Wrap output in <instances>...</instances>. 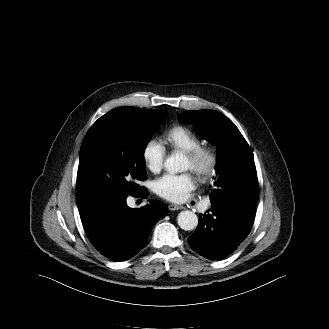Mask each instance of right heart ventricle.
I'll list each match as a JSON object with an SVG mask.
<instances>
[{
    "mask_svg": "<svg viewBox=\"0 0 329 329\" xmlns=\"http://www.w3.org/2000/svg\"><path fill=\"white\" fill-rule=\"evenodd\" d=\"M165 141L174 150L187 152L201 145V138L190 128L175 125L168 129L164 135Z\"/></svg>",
    "mask_w": 329,
    "mask_h": 329,
    "instance_id": "e07e8e85",
    "label": "right heart ventricle"
}]
</instances>
